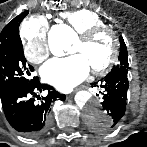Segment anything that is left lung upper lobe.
<instances>
[{
  "label": "left lung upper lobe",
  "instance_id": "obj_1",
  "mask_svg": "<svg viewBox=\"0 0 147 147\" xmlns=\"http://www.w3.org/2000/svg\"><path fill=\"white\" fill-rule=\"evenodd\" d=\"M119 41H120V54H119V64L114 66L113 69L111 70V72L108 75L117 73L121 70H128V55H127V48L125 45V42L122 38V36L119 37Z\"/></svg>",
  "mask_w": 147,
  "mask_h": 147
}]
</instances>
